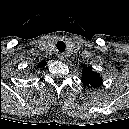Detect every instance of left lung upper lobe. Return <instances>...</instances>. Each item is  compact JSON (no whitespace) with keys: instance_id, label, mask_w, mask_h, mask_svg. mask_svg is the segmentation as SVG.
<instances>
[{"instance_id":"left-lung-upper-lobe-1","label":"left lung upper lobe","mask_w":129,"mask_h":129,"mask_svg":"<svg viewBox=\"0 0 129 129\" xmlns=\"http://www.w3.org/2000/svg\"><path fill=\"white\" fill-rule=\"evenodd\" d=\"M82 82L91 87H98L102 84V79L97 72L92 71V68H83Z\"/></svg>"}]
</instances>
